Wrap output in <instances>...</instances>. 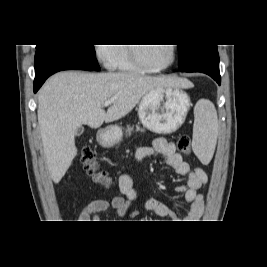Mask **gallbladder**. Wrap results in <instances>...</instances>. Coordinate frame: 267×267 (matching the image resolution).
Returning <instances> with one entry per match:
<instances>
[{
	"mask_svg": "<svg viewBox=\"0 0 267 267\" xmlns=\"http://www.w3.org/2000/svg\"><path fill=\"white\" fill-rule=\"evenodd\" d=\"M83 131H84V127L81 126L76 130L75 135L80 136L83 133Z\"/></svg>",
	"mask_w": 267,
	"mask_h": 267,
	"instance_id": "gallbladder-1",
	"label": "gallbladder"
}]
</instances>
